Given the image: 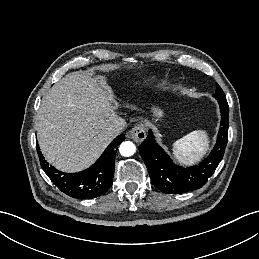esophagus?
Wrapping results in <instances>:
<instances>
[{"instance_id":"obj_1","label":"esophagus","mask_w":259,"mask_h":259,"mask_svg":"<svg viewBox=\"0 0 259 259\" xmlns=\"http://www.w3.org/2000/svg\"><path fill=\"white\" fill-rule=\"evenodd\" d=\"M130 137L135 142H142L146 138V128L143 124L135 125L130 131Z\"/></svg>"}]
</instances>
